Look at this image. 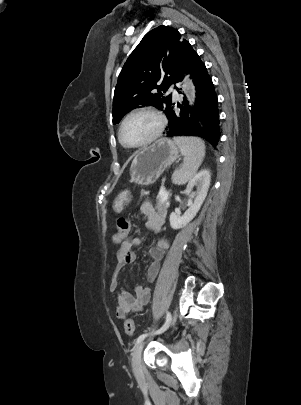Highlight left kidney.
<instances>
[{
    "label": "left kidney",
    "instance_id": "obj_1",
    "mask_svg": "<svg viewBox=\"0 0 301 405\" xmlns=\"http://www.w3.org/2000/svg\"><path fill=\"white\" fill-rule=\"evenodd\" d=\"M210 181L211 175L209 170L206 169L201 170L189 181L187 185V192H192L194 187H196V192L194 193V202L182 216L176 212H172L170 214L169 221L170 226L173 229L177 230L186 226L196 216L207 196Z\"/></svg>",
    "mask_w": 301,
    "mask_h": 405
}]
</instances>
